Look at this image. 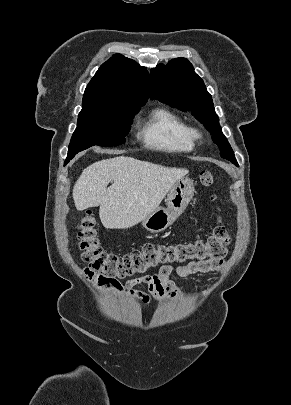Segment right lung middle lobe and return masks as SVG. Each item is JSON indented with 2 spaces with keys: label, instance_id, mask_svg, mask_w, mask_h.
I'll list each match as a JSON object with an SVG mask.
<instances>
[{
  "label": "right lung middle lobe",
  "instance_id": "dd1d6c3e",
  "mask_svg": "<svg viewBox=\"0 0 291 405\" xmlns=\"http://www.w3.org/2000/svg\"><path fill=\"white\" fill-rule=\"evenodd\" d=\"M140 108L92 106L82 108L68 148L67 164L78 152L93 145L118 146L125 143L132 119Z\"/></svg>",
  "mask_w": 291,
  "mask_h": 405
}]
</instances>
